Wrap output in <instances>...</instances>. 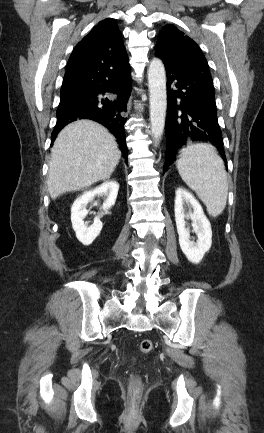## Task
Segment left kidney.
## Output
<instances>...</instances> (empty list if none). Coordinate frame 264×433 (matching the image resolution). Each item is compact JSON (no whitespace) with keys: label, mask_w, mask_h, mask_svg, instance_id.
I'll use <instances>...</instances> for the list:
<instances>
[{"label":"left kidney","mask_w":264,"mask_h":433,"mask_svg":"<svg viewBox=\"0 0 264 433\" xmlns=\"http://www.w3.org/2000/svg\"><path fill=\"white\" fill-rule=\"evenodd\" d=\"M175 221L179 235V244L187 259L194 264L200 263L204 254L209 251L212 244V230L200 203L194 196L182 187L175 191ZM185 206L193 208V212H185ZM190 218L192 227L197 234V241L190 240L189 228H186L185 219Z\"/></svg>","instance_id":"obj_1"}]
</instances>
